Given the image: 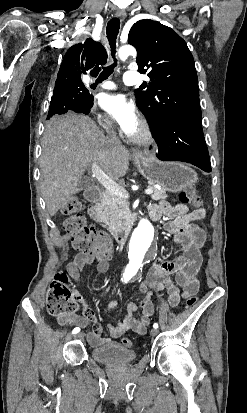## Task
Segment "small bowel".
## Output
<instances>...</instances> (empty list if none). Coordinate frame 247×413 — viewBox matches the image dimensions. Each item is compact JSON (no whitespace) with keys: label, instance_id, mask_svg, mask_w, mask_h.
Returning <instances> with one entry per match:
<instances>
[{"label":"small bowel","instance_id":"obj_1","mask_svg":"<svg viewBox=\"0 0 247 413\" xmlns=\"http://www.w3.org/2000/svg\"><path fill=\"white\" fill-rule=\"evenodd\" d=\"M162 214L170 218L166 228L176 237L183 254L174 260L167 261L158 258L153 262L139 285V292L144 294L145 297L140 302L137 299L127 305V311L122 321L108 325L109 339L106 340L101 336V327H96L88 333L87 341L92 347H100L108 343L110 349H115L117 347L115 340L123 336L128 330L141 335L145 334L150 317L155 310L151 298L154 294L159 296L164 289L168 290V304L170 307H176L179 304L180 287H185L183 292L185 299H195L197 297L200 282L191 279L195 278L202 264L201 249L205 244L206 235L204 230L196 223L204 217L205 212L202 208L190 210L188 205L183 203L170 205L166 201H161L158 204L149 205L151 220H158ZM93 263L96 264V270L99 273L107 272L109 268L107 252H79L67 264V271L74 281H79L84 268ZM172 275H175V279L172 278ZM73 294L82 306V315H61L57 317V321L60 325H74L78 328H84L95 319V313L77 291H74ZM139 308L142 315L137 318L134 312ZM116 309L117 302L109 300L107 311L112 313Z\"/></svg>","mask_w":247,"mask_h":413}]
</instances>
